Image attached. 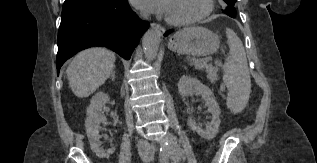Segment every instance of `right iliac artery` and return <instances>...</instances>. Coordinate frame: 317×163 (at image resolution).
I'll list each match as a JSON object with an SVG mask.
<instances>
[{"label": "right iliac artery", "instance_id": "obj_1", "mask_svg": "<svg viewBox=\"0 0 317 163\" xmlns=\"http://www.w3.org/2000/svg\"><path fill=\"white\" fill-rule=\"evenodd\" d=\"M164 160L163 154L160 155V161Z\"/></svg>", "mask_w": 317, "mask_h": 163}]
</instances>
